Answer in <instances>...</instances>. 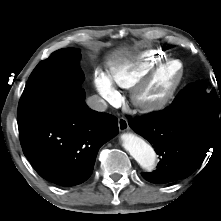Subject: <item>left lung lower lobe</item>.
I'll use <instances>...</instances> for the list:
<instances>
[{
	"label": "left lung lower lobe",
	"instance_id": "0a47b994",
	"mask_svg": "<svg viewBox=\"0 0 221 221\" xmlns=\"http://www.w3.org/2000/svg\"><path fill=\"white\" fill-rule=\"evenodd\" d=\"M128 123L161 156L157 170L142 173L152 183L164 184L188 177L201 165L209 149L221 140V117L216 114H169L165 109L129 118Z\"/></svg>",
	"mask_w": 221,
	"mask_h": 221
}]
</instances>
